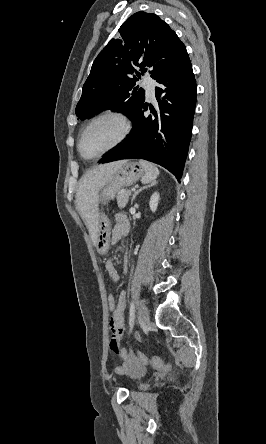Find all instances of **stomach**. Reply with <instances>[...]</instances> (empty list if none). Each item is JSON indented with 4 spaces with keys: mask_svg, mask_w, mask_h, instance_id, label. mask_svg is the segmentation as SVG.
Returning <instances> with one entry per match:
<instances>
[{
    "mask_svg": "<svg viewBox=\"0 0 266 444\" xmlns=\"http://www.w3.org/2000/svg\"><path fill=\"white\" fill-rule=\"evenodd\" d=\"M145 171L143 167L134 161L124 162L113 176L106 182V184L101 188L98 203L106 204L108 201L112 200L116 193L123 187L133 185L140 178H143ZM110 232V222L107 216L100 212L98 216L97 225V246L99 250L105 251L106 246H99V243L109 236Z\"/></svg>",
    "mask_w": 266,
    "mask_h": 444,
    "instance_id": "1",
    "label": "stomach"
}]
</instances>
